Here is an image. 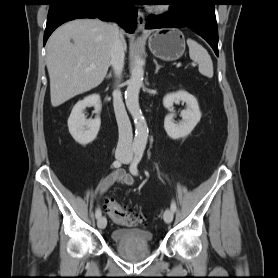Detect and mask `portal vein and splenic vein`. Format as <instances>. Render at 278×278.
<instances>
[{
  "mask_svg": "<svg viewBox=\"0 0 278 278\" xmlns=\"http://www.w3.org/2000/svg\"><path fill=\"white\" fill-rule=\"evenodd\" d=\"M95 68V66L94 65H92L89 69H94Z\"/></svg>",
  "mask_w": 278,
  "mask_h": 278,
  "instance_id": "18ae733b",
  "label": "portal vein and splenic vein"
}]
</instances>
